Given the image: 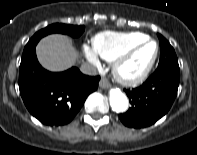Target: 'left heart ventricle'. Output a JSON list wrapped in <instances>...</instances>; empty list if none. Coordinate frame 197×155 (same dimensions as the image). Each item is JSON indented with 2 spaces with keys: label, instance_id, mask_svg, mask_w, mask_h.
<instances>
[{
  "label": "left heart ventricle",
  "instance_id": "b2bd125f",
  "mask_svg": "<svg viewBox=\"0 0 197 155\" xmlns=\"http://www.w3.org/2000/svg\"><path fill=\"white\" fill-rule=\"evenodd\" d=\"M154 49V44H146L141 47L125 64L124 71L128 74L140 72L152 58Z\"/></svg>",
  "mask_w": 197,
  "mask_h": 155
}]
</instances>
